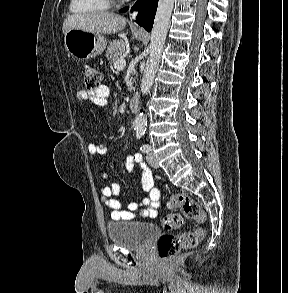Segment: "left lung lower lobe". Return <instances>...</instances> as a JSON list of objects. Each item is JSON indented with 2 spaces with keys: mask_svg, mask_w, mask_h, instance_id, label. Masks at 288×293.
Here are the masks:
<instances>
[{
  "mask_svg": "<svg viewBox=\"0 0 288 293\" xmlns=\"http://www.w3.org/2000/svg\"><path fill=\"white\" fill-rule=\"evenodd\" d=\"M126 11H128V7H125V8L120 10V12H126Z\"/></svg>",
  "mask_w": 288,
  "mask_h": 293,
  "instance_id": "obj_1",
  "label": "left lung lower lobe"
}]
</instances>
